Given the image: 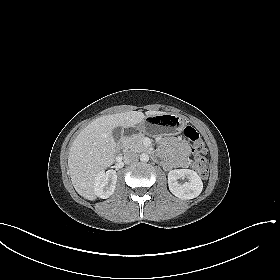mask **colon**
Wrapping results in <instances>:
<instances>
[{"mask_svg":"<svg viewBox=\"0 0 280 280\" xmlns=\"http://www.w3.org/2000/svg\"><path fill=\"white\" fill-rule=\"evenodd\" d=\"M184 137L191 143L194 159L192 162L193 169L202 177L206 178L209 173L208 160L204 156L207 152V146L201 138L198 131L192 126L184 129Z\"/></svg>","mask_w":280,"mask_h":280,"instance_id":"colon-1","label":"colon"}]
</instances>
